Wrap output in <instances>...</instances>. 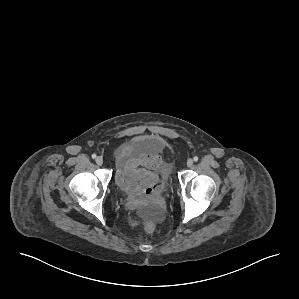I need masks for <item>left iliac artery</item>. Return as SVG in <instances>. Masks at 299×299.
Returning <instances> with one entry per match:
<instances>
[{
	"mask_svg": "<svg viewBox=\"0 0 299 299\" xmlns=\"http://www.w3.org/2000/svg\"><path fill=\"white\" fill-rule=\"evenodd\" d=\"M193 160H194L195 162L198 161V157L195 156V157L193 158Z\"/></svg>",
	"mask_w": 299,
	"mask_h": 299,
	"instance_id": "obj_1",
	"label": "left iliac artery"
}]
</instances>
